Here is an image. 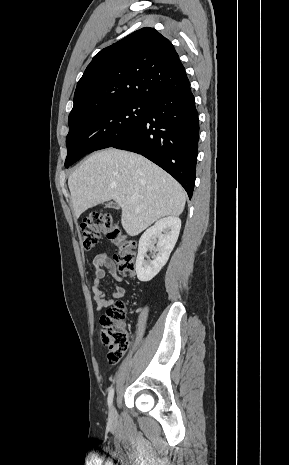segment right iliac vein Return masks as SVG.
<instances>
[{
    "instance_id": "1",
    "label": "right iliac vein",
    "mask_w": 289,
    "mask_h": 465,
    "mask_svg": "<svg viewBox=\"0 0 289 465\" xmlns=\"http://www.w3.org/2000/svg\"><path fill=\"white\" fill-rule=\"evenodd\" d=\"M109 420L110 422H114L116 420V409L115 407H111L110 412H109Z\"/></svg>"
}]
</instances>
